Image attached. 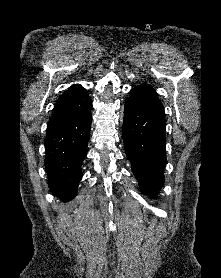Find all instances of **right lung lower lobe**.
I'll return each mask as SVG.
<instances>
[{"instance_id": "98d812e1", "label": "right lung lower lobe", "mask_w": 221, "mask_h": 278, "mask_svg": "<svg viewBox=\"0 0 221 278\" xmlns=\"http://www.w3.org/2000/svg\"><path fill=\"white\" fill-rule=\"evenodd\" d=\"M91 106L81 116L48 133L45 138L44 165L48 187L64 202L76 196L82 177L81 164L90 138Z\"/></svg>"}]
</instances>
